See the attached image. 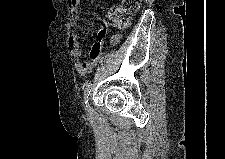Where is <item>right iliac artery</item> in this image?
I'll return each mask as SVG.
<instances>
[{
    "label": "right iliac artery",
    "instance_id": "right-iliac-artery-1",
    "mask_svg": "<svg viewBox=\"0 0 225 159\" xmlns=\"http://www.w3.org/2000/svg\"><path fill=\"white\" fill-rule=\"evenodd\" d=\"M91 86H92V83H88L84 89V99H85V104H87L88 102V97L90 95V91H91ZM87 107V105H86Z\"/></svg>",
    "mask_w": 225,
    "mask_h": 159
}]
</instances>
